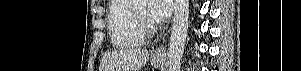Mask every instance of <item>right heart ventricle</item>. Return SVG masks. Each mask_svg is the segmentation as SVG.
Listing matches in <instances>:
<instances>
[{
    "label": "right heart ventricle",
    "mask_w": 301,
    "mask_h": 71,
    "mask_svg": "<svg viewBox=\"0 0 301 71\" xmlns=\"http://www.w3.org/2000/svg\"><path fill=\"white\" fill-rule=\"evenodd\" d=\"M107 24L111 42L115 47L130 48L146 42V35L135 22L129 0H115L111 3Z\"/></svg>",
    "instance_id": "e07e8e85"
}]
</instances>
